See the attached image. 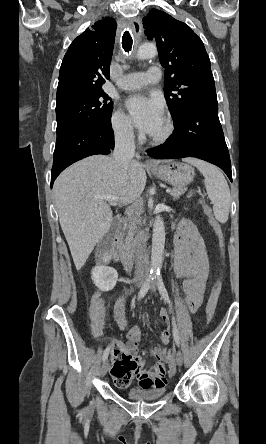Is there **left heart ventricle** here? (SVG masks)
Wrapping results in <instances>:
<instances>
[{
    "mask_svg": "<svg viewBox=\"0 0 266 444\" xmlns=\"http://www.w3.org/2000/svg\"><path fill=\"white\" fill-rule=\"evenodd\" d=\"M163 129H164V124L161 126V128L154 134V135H159V134H161L162 133V131H163Z\"/></svg>",
    "mask_w": 266,
    "mask_h": 444,
    "instance_id": "b2bd125f",
    "label": "left heart ventricle"
}]
</instances>
